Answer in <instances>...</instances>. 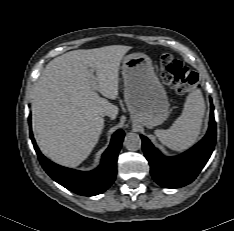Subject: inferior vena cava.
Returning <instances> with one entry per match:
<instances>
[{
  "label": "inferior vena cava",
  "mask_w": 234,
  "mask_h": 231,
  "mask_svg": "<svg viewBox=\"0 0 234 231\" xmlns=\"http://www.w3.org/2000/svg\"><path fill=\"white\" fill-rule=\"evenodd\" d=\"M105 115H107V114H106V113H103V114H102V116H105Z\"/></svg>",
  "instance_id": "602c4592"
}]
</instances>
